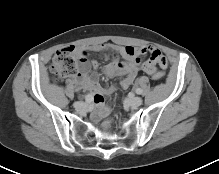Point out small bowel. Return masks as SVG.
<instances>
[{
    "label": "small bowel",
    "mask_w": 219,
    "mask_h": 174,
    "mask_svg": "<svg viewBox=\"0 0 219 174\" xmlns=\"http://www.w3.org/2000/svg\"><path fill=\"white\" fill-rule=\"evenodd\" d=\"M94 49L103 53L105 58H111V62L104 67L103 72L107 77L124 76L120 84L125 89L133 83L138 74L141 55L149 53V62L142 66L143 70L149 75H153L156 69H165L168 65L165 54L154 47L107 44L97 46ZM75 52L80 58V66L78 74L72 77L70 81L78 89L90 93L93 101L92 116L94 120H99L109 112L105 95L118 91L119 83L114 81L108 87H101L97 82L98 75L96 73L89 74L91 68L93 70L98 69V63L95 60L89 62L86 58L87 53L83 49H76ZM119 57H122L124 61L120 62Z\"/></svg>",
    "instance_id": "1"
}]
</instances>
